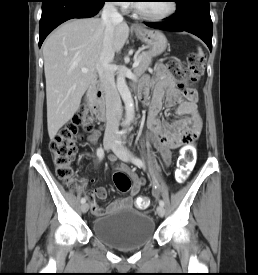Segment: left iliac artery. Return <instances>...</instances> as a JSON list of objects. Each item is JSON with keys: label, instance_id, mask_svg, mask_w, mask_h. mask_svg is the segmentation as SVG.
<instances>
[{"label": "left iliac artery", "instance_id": "obj_1", "mask_svg": "<svg viewBox=\"0 0 258 275\" xmlns=\"http://www.w3.org/2000/svg\"><path fill=\"white\" fill-rule=\"evenodd\" d=\"M132 161H133V163H134L136 166H138L139 168H144V167H145L144 162H143L140 158L133 157ZM159 205L164 206V205H165L164 201H163V200H160V201H159Z\"/></svg>", "mask_w": 258, "mask_h": 275}]
</instances>
